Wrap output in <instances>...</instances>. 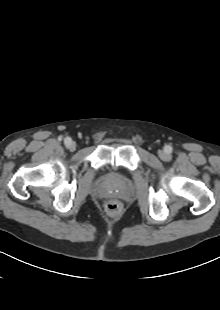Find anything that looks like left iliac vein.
<instances>
[{
  "instance_id": "4c4485c4",
  "label": "left iliac vein",
  "mask_w": 220,
  "mask_h": 310,
  "mask_svg": "<svg viewBox=\"0 0 220 310\" xmlns=\"http://www.w3.org/2000/svg\"><path fill=\"white\" fill-rule=\"evenodd\" d=\"M158 155L163 160H168L170 157L169 154L167 152H165L164 150L158 151Z\"/></svg>"
}]
</instances>
